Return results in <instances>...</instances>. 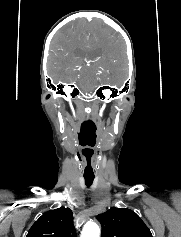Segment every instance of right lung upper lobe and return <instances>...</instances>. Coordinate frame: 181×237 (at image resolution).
<instances>
[{"label": "right lung upper lobe", "instance_id": "right-lung-upper-lobe-1", "mask_svg": "<svg viewBox=\"0 0 181 237\" xmlns=\"http://www.w3.org/2000/svg\"><path fill=\"white\" fill-rule=\"evenodd\" d=\"M26 237H77L72 211L60 207L45 212L32 225Z\"/></svg>", "mask_w": 181, "mask_h": 237}]
</instances>
